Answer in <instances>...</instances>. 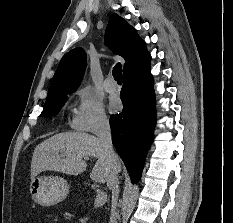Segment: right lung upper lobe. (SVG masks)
Listing matches in <instances>:
<instances>
[{
    "label": "right lung upper lobe",
    "mask_w": 233,
    "mask_h": 223,
    "mask_svg": "<svg viewBox=\"0 0 233 223\" xmlns=\"http://www.w3.org/2000/svg\"><path fill=\"white\" fill-rule=\"evenodd\" d=\"M105 41L114 53L124 58V76L149 65L150 54L146 50L145 42L133 27L117 14L110 17ZM86 64V53L82 48L66 53L54 74L44 105L58 102L74 92L80 85Z\"/></svg>",
    "instance_id": "obj_1"
}]
</instances>
